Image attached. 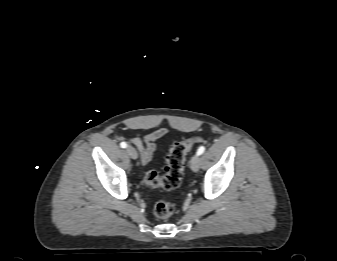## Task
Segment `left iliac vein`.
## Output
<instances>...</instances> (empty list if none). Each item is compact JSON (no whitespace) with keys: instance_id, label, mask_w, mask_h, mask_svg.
<instances>
[{"instance_id":"left-iliac-vein-1","label":"left iliac vein","mask_w":337,"mask_h":261,"mask_svg":"<svg viewBox=\"0 0 337 261\" xmlns=\"http://www.w3.org/2000/svg\"><path fill=\"white\" fill-rule=\"evenodd\" d=\"M200 158L199 155L195 154L190 161V168L196 172L199 169Z\"/></svg>"}]
</instances>
